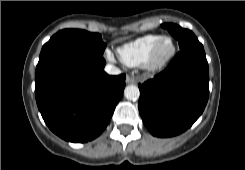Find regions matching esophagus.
I'll use <instances>...</instances> for the list:
<instances>
[{
    "instance_id": "1",
    "label": "esophagus",
    "mask_w": 245,
    "mask_h": 170,
    "mask_svg": "<svg viewBox=\"0 0 245 170\" xmlns=\"http://www.w3.org/2000/svg\"><path fill=\"white\" fill-rule=\"evenodd\" d=\"M135 82H136V80L133 77H131V76L126 77V83L134 84Z\"/></svg>"
}]
</instances>
